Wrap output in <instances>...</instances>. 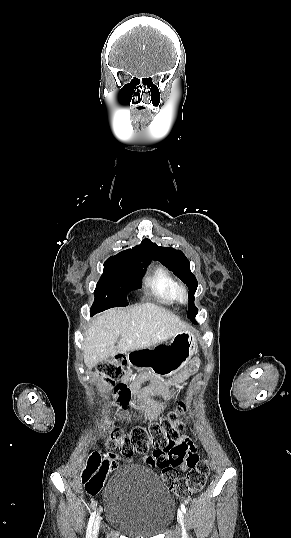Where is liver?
I'll list each match as a JSON object with an SVG mask.
<instances>
[{
    "label": "liver",
    "instance_id": "1",
    "mask_svg": "<svg viewBox=\"0 0 291 538\" xmlns=\"http://www.w3.org/2000/svg\"><path fill=\"white\" fill-rule=\"evenodd\" d=\"M188 328L178 316L153 303L113 308L96 316L85 332L84 361L96 364L110 356L147 348Z\"/></svg>",
    "mask_w": 291,
    "mask_h": 538
}]
</instances>
